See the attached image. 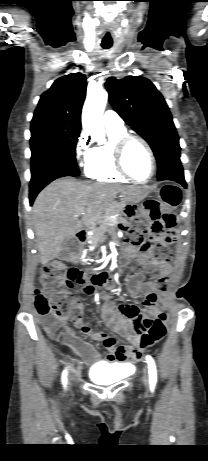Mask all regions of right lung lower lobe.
<instances>
[{
	"label": "right lung lower lobe",
	"instance_id": "98d812e1",
	"mask_svg": "<svg viewBox=\"0 0 208 461\" xmlns=\"http://www.w3.org/2000/svg\"><path fill=\"white\" fill-rule=\"evenodd\" d=\"M64 176H78L65 168H50L44 170L39 175L31 177L30 181V204L32 205L37 194L51 181Z\"/></svg>",
	"mask_w": 208,
	"mask_h": 461
}]
</instances>
